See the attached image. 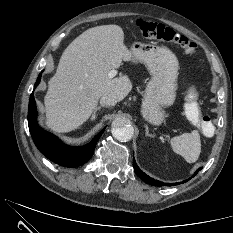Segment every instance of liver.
<instances>
[{"label": "liver", "mask_w": 233, "mask_h": 233, "mask_svg": "<svg viewBox=\"0 0 233 233\" xmlns=\"http://www.w3.org/2000/svg\"><path fill=\"white\" fill-rule=\"evenodd\" d=\"M133 60L118 25L90 28L64 50L44 98L46 125L55 132H69L91 116L106 93L122 101L131 91L127 76L109 78L122 61Z\"/></svg>", "instance_id": "liver-1"}]
</instances>
